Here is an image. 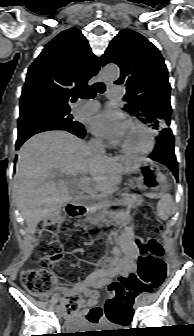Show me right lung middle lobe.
I'll use <instances>...</instances> for the list:
<instances>
[{
  "label": "right lung middle lobe",
  "mask_w": 194,
  "mask_h": 336,
  "mask_svg": "<svg viewBox=\"0 0 194 336\" xmlns=\"http://www.w3.org/2000/svg\"><path fill=\"white\" fill-rule=\"evenodd\" d=\"M66 110H41L18 119V137L47 130H78L83 125L72 120Z\"/></svg>",
  "instance_id": "dd1d6c3e"
}]
</instances>
